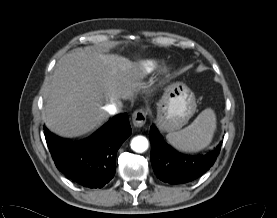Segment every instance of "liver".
Instances as JSON below:
<instances>
[{
	"label": "liver",
	"mask_w": 277,
	"mask_h": 218,
	"mask_svg": "<svg viewBox=\"0 0 277 218\" xmlns=\"http://www.w3.org/2000/svg\"><path fill=\"white\" fill-rule=\"evenodd\" d=\"M137 66L129 59L77 48L63 56L46 90L44 121L64 137L85 135L109 118L108 103L131 99L139 81Z\"/></svg>",
	"instance_id": "1"
}]
</instances>
